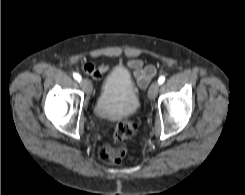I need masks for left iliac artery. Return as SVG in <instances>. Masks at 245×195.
<instances>
[{
    "instance_id": "1",
    "label": "left iliac artery",
    "mask_w": 245,
    "mask_h": 195,
    "mask_svg": "<svg viewBox=\"0 0 245 195\" xmlns=\"http://www.w3.org/2000/svg\"><path fill=\"white\" fill-rule=\"evenodd\" d=\"M164 81H165V77L164 76H160L159 79H158L159 85L163 84Z\"/></svg>"
}]
</instances>
